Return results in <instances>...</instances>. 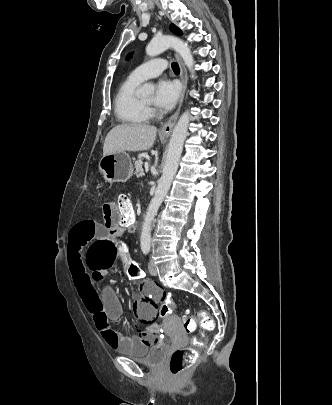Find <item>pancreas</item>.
I'll return each instance as SVG.
<instances>
[{
  "label": "pancreas",
  "mask_w": 332,
  "mask_h": 405,
  "mask_svg": "<svg viewBox=\"0 0 332 405\" xmlns=\"http://www.w3.org/2000/svg\"><path fill=\"white\" fill-rule=\"evenodd\" d=\"M143 162L141 160H136L135 161V175L136 177H142L145 175L144 170H143Z\"/></svg>",
  "instance_id": "pancreas-1"
}]
</instances>
